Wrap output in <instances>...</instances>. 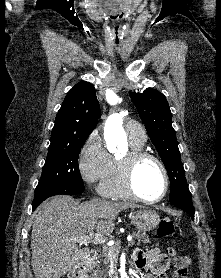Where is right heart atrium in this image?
<instances>
[{
  "mask_svg": "<svg viewBox=\"0 0 221 278\" xmlns=\"http://www.w3.org/2000/svg\"><path fill=\"white\" fill-rule=\"evenodd\" d=\"M113 166V158L108 153L97 131L89 134L78 155V171L87 184L102 182Z\"/></svg>",
  "mask_w": 221,
  "mask_h": 278,
  "instance_id": "obj_1",
  "label": "right heart atrium"
}]
</instances>
